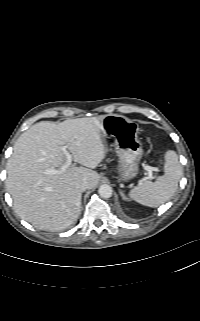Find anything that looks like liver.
Segmentation results:
<instances>
[{"mask_svg": "<svg viewBox=\"0 0 200 321\" xmlns=\"http://www.w3.org/2000/svg\"><path fill=\"white\" fill-rule=\"evenodd\" d=\"M105 116L68 119L61 123L42 121L31 126L16 141L7 163L6 188L16 213L41 230H63L80 215L81 192L76 188L86 180L89 188L100 179L92 170L106 156L102 138ZM72 153L81 167L65 164L62 147ZM55 169L56 174H45Z\"/></svg>", "mask_w": 200, "mask_h": 321, "instance_id": "liver-1", "label": "liver"}]
</instances>
